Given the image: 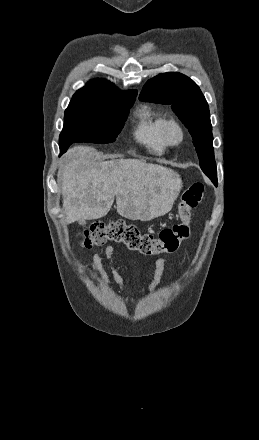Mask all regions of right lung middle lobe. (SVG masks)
I'll list each match as a JSON object with an SVG mask.
<instances>
[{"mask_svg": "<svg viewBox=\"0 0 259 440\" xmlns=\"http://www.w3.org/2000/svg\"><path fill=\"white\" fill-rule=\"evenodd\" d=\"M135 98L109 107L70 103L64 115V127L59 137L60 148L74 142H113L124 126Z\"/></svg>", "mask_w": 259, "mask_h": 440, "instance_id": "right-lung-middle-lobe-1", "label": "right lung middle lobe"}]
</instances>
